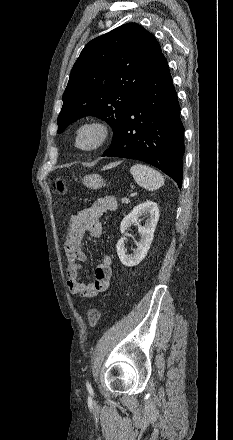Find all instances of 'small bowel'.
Segmentation results:
<instances>
[{
  "label": "small bowel",
  "instance_id": "small-bowel-1",
  "mask_svg": "<svg viewBox=\"0 0 233 440\" xmlns=\"http://www.w3.org/2000/svg\"><path fill=\"white\" fill-rule=\"evenodd\" d=\"M117 208V199L113 195L96 200L91 206L73 214L68 221L64 250L67 259V285L72 294L92 298L106 291L112 276L111 255L104 254L95 269L94 280L84 283L78 279L83 263L87 257L82 250L85 232L99 238L102 234L101 217L108 211Z\"/></svg>",
  "mask_w": 233,
  "mask_h": 440
}]
</instances>
